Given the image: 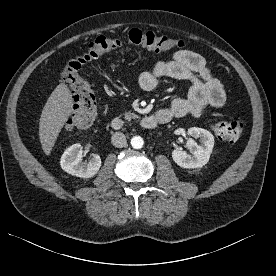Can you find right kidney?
<instances>
[{
	"instance_id": "ca27d5eb",
	"label": "right kidney",
	"mask_w": 276,
	"mask_h": 276,
	"mask_svg": "<svg viewBox=\"0 0 276 276\" xmlns=\"http://www.w3.org/2000/svg\"><path fill=\"white\" fill-rule=\"evenodd\" d=\"M82 146L79 143L73 144L67 148L61 156V168L74 176L90 178L94 176L101 167V158L93 154L88 163L82 162Z\"/></svg>"
}]
</instances>
